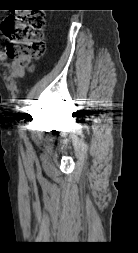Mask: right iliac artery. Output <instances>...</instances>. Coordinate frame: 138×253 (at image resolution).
<instances>
[{"instance_id": "obj_1", "label": "right iliac artery", "mask_w": 138, "mask_h": 253, "mask_svg": "<svg viewBox=\"0 0 138 253\" xmlns=\"http://www.w3.org/2000/svg\"><path fill=\"white\" fill-rule=\"evenodd\" d=\"M19 127H20V138L24 139L25 138V132H24L25 126H24V122H21L19 124Z\"/></svg>"}]
</instances>
